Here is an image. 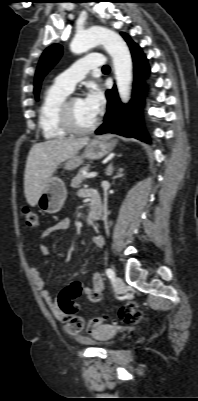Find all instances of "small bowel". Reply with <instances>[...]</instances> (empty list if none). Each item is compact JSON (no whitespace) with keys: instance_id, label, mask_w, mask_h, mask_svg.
<instances>
[{"instance_id":"1","label":"small bowel","mask_w":198,"mask_h":401,"mask_svg":"<svg viewBox=\"0 0 198 401\" xmlns=\"http://www.w3.org/2000/svg\"><path fill=\"white\" fill-rule=\"evenodd\" d=\"M95 191H88L87 194H95ZM69 220L67 218H61L57 220L52 226H50L44 233L43 238H47L59 231H63L68 229ZM95 242L98 246L102 247L104 244V239L101 236L95 238ZM40 250L43 255L47 256L49 254V247L47 244L43 243L40 247ZM31 273L37 288L39 289L43 299L49 305L51 311L54 315L61 321L65 323V330L68 334L83 338L84 334L96 335L98 330L104 327L102 324H98L94 321H90L83 327H80L78 324V316L77 314L69 315L63 312L58 305V303L54 300L51 293L45 288V283L37 270L35 265L31 267ZM76 294L73 299V303L79 309L80 304L77 302V298L83 295L85 297V301L96 303L100 302L103 294V280L99 272H95L92 275L91 285L83 286L81 283L76 282Z\"/></svg>"}]
</instances>
